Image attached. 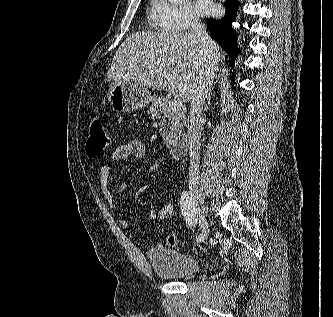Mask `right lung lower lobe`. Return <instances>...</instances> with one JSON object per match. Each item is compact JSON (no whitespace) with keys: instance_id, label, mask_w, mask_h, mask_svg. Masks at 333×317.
<instances>
[{"instance_id":"1","label":"right lung lower lobe","mask_w":333,"mask_h":317,"mask_svg":"<svg viewBox=\"0 0 333 317\" xmlns=\"http://www.w3.org/2000/svg\"><path fill=\"white\" fill-rule=\"evenodd\" d=\"M224 17L220 19L209 18L207 20V30L210 32L213 39L235 59L240 53V48L237 47V35L231 28V23L235 20L236 12L239 7L238 0H226ZM235 61H232V65Z\"/></svg>"}]
</instances>
